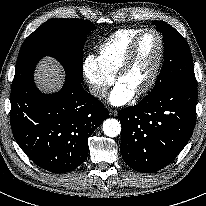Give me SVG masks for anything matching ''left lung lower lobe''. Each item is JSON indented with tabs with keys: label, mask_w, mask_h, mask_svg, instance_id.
Returning <instances> with one entry per match:
<instances>
[{
	"label": "left lung lower lobe",
	"mask_w": 206,
	"mask_h": 206,
	"mask_svg": "<svg viewBox=\"0 0 206 206\" xmlns=\"http://www.w3.org/2000/svg\"><path fill=\"white\" fill-rule=\"evenodd\" d=\"M197 87L180 84L122 109L121 154L133 170L159 171L189 141L196 121Z\"/></svg>",
	"instance_id": "obj_1"
}]
</instances>
